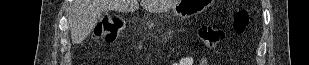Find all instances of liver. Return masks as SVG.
Returning <instances> with one entry per match:
<instances>
[{"label":"liver","instance_id":"1","mask_svg":"<svg viewBox=\"0 0 309 65\" xmlns=\"http://www.w3.org/2000/svg\"><path fill=\"white\" fill-rule=\"evenodd\" d=\"M140 5L149 12L159 13L175 6L176 3L171 0H141ZM138 9V0H74L69 16L72 43H82L103 12H134Z\"/></svg>","mask_w":309,"mask_h":65}]
</instances>
